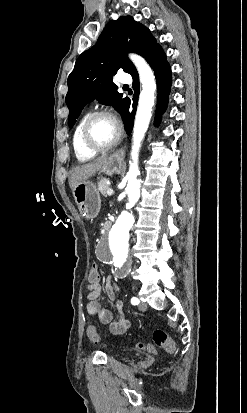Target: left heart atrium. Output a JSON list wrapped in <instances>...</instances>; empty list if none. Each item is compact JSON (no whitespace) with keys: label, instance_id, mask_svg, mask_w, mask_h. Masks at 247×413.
Returning <instances> with one entry per match:
<instances>
[{"label":"left heart atrium","instance_id":"obj_1","mask_svg":"<svg viewBox=\"0 0 247 413\" xmlns=\"http://www.w3.org/2000/svg\"><path fill=\"white\" fill-rule=\"evenodd\" d=\"M109 122L111 123V125L116 126L117 125V119L115 116H110L108 118Z\"/></svg>","mask_w":247,"mask_h":413}]
</instances>
